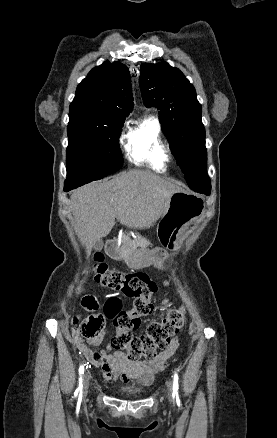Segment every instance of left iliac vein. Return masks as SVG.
Returning a JSON list of instances; mask_svg holds the SVG:
<instances>
[{
  "label": "left iliac vein",
  "mask_w": 277,
  "mask_h": 438,
  "mask_svg": "<svg viewBox=\"0 0 277 438\" xmlns=\"http://www.w3.org/2000/svg\"><path fill=\"white\" fill-rule=\"evenodd\" d=\"M172 386H173V382H172L171 379H169L167 381V396H168V399L170 401L173 399V389H172Z\"/></svg>",
  "instance_id": "obj_1"
}]
</instances>
